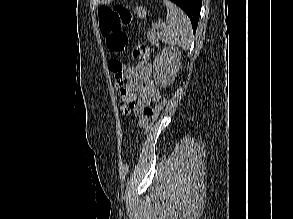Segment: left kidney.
<instances>
[{
	"mask_svg": "<svg viewBox=\"0 0 293 219\" xmlns=\"http://www.w3.org/2000/svg\"><path fill=\"white\" fill-rule=\"evenodd\" d=\"M181 52L174 47H164L153 62L156 85L166 88L173 83L180 67Z\"/></svg>",
	"mask_w": 293,
	"mask_h": 219,
	"instance_id": "obj_1",
	"label": "left kidney"
}]
</instances>
